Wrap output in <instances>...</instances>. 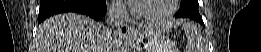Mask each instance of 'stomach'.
<instances>
[{"mask_svg": "<svg viewBox=\"0 0 261 52\" xmlns=\"http://www.w3.org/2000/svg\"><path fill=\"white\" fill-rule=\"evenodd\" d=\"M129 43L136 52H172L166 38L148 27L142 33H136Z\"/></svg>", "mask_w": 261, "mask_h": 52, "instance_id": "obj_1", "label": "stomach"}]
</instances>
